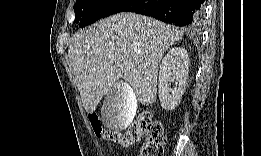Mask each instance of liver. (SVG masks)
<instances>
[{
	"label": "liver",
	"instance_id": "6515ba94",
	"mask_svg": "<svg viewBox=\"0 0 261 156\" xmlns=\"http://www.w3.org/2000/svg\"><path fill=\"white\" fill-rule=\"evenodd\" d=\"M182 37L183 31L175 26L128 12L79 30L72 38L68 57L84 109L93 113L104 96L121 93V87H115L121 78L140 103H154L160 61ZM133 102L135 109L134 98ZM133 117L134 110L112 129L127 128Z\"/></svg>",
	"mask_w": 261,
	"mask_h": 156
}]
</instances>
